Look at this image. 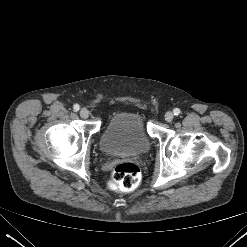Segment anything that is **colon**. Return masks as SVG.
Returning <instances> with one entry per match:
<instances>
[{
	"mask_svg": "<svg viewBox=\"0 0 247 247\" xmlns=\"http://www.w3.org/2000/svg\"><path fill=\"white\" fill-rule=\"evenodd\" d=\"M140 181V169L132 162L120 163L112 172V187L122 191H130L135 189L138 187Z\"/></svg>",
	"mask_w": 247,
	"mask_h": 247,
	"instance_id": "1",
	"label": "colon"
}]
</instances>
